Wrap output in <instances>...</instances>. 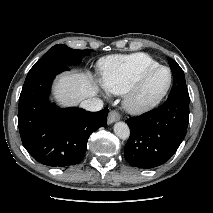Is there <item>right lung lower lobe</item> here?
<instances>
[{
  "mask_svg": "<svg viewBox=\"0 0 213 213\" xmlns=\"http://www.w3.org/2000/svg\"><path fill=\"white\" fill-rule=\"evenodd\" d=\"M69 70L65 63L32 67L24 82L18 110L23 146L39 163L51 167L78 164L89 136L107 125L108 109L89 112L81 108L58 109L48 95L55 76Z\"/></svg>",
  "mask_w": 213,
  "mask_h": 213,
  "instance_id": "right-lung-lower-lobe-1",
  "label": "right lung lower lobe"
}]
</instances>
